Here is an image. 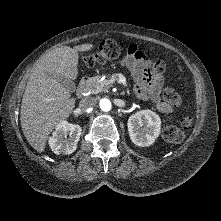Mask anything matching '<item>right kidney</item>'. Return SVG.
I'll list each match as a JSON object with an SVG mask.
<instances>
[{
  "mask_svg": "<svg viewBox=\"0 0 221 221\" xmlns=\"http://www.w3.org/2000/svg\"><path fill=\"white\" fill-rule=\"evenodd\" d=\"M81 131L80 125L70 124L67 121L60 122L49 138L50 148L57 155L73 153L77 149Z\"/></svg>",
  "mask_w": 221,
  "mask_h": 221,
  "instance_id": "ca27d5eb",
  "label": "right kidney"
}]
</instances>
